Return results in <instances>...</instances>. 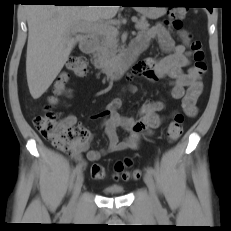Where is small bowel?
Segmentation results:
<instances>
[{
    "mask_svg": "<svg viewBox=\"0 0 231 231\" xmlns=\"http://www.w3.org/2000/svg\"><path fill=\"white\" fill-rule=\"evenodd\" d=\"M182 43H176L170 32L158 23L149 30L142 32L136 39L133 50L137 52L145 50L150 43L157 41L164 56L160 59L147 58L137 63L133 68V74L143 77L149 81H158L162 78L170 79L171 95L174 99L180 100L184 112L194 117L197 114L196 103L202 92V84L199 81V74L190 67L188 54V35L181 31ZM134 91L133 86L129 87ZM121 99H113L99 116L103 117V126L109 140L106 150H89L91 134L77 143L72 144L68 150L71 158L81 166L86 167L87 161H98L106 153H116L125 150H136L139 147L141 135L146 131L157 129L163 122L161 111L164 103L160 100H148L140 108L139 117L122 116L119 113ZM61 122L68 126H74L77 118L73 114L64 117ZM122 129L126 135L123 139L119 138L118 130ZM87 153V160L83 158V153Z\"/></svg>",
    "mask_w": 231,
    "mask_h": 231,
    "instance_id": "small-bowel-1",
    "label": "small bowel"
}]
</instances>
